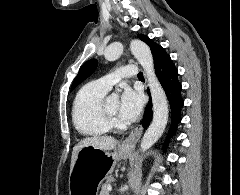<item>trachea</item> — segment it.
<instances>
[{
  "label": "trachea",
  "instance_id": "1",
  "mask_svg": "<svg viewBox=\"0 0 240 195\" xmlns=\"http://www.w3.org/2000/svg\"><path fill=\"white\" fill-rule=\"evenodd\" d=\"M137 76H138L139 79H143L144 78L142 72H139Z\"/></svg>",
  "mask_w": 240,
  "mask_h": 195
}]
</instances>
